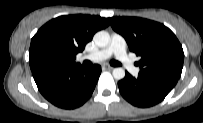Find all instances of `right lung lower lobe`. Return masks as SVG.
<instances>
[{
  "label": "right lung lower lobe",
  "instance_id": "98d812e1",
  "mask_svg": "<svg viewBox=\"0 0 203 123\" xmlns=\"http://www.w3.org/2000/svg\"><path fill=\"white\" fill-rule=\"evenodd\" d=\"M100 73L99 65L86 69L80 64L32 70L41 94L55 106L64 109L83 105L92 95Z\"/></svg>",
  "mask_w": 203,
  "mask_h": 123
}]
</instances>
